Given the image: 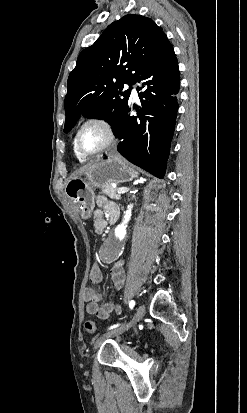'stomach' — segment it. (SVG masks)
Instances as JSON below:
<instances>
[{
    "mask_svg": "<svg viewBox=\"0 0 247 413\" xmlns=\"http://www.w3.org/2000/svg\"><path fill=\"white\" fill-rule=\"evenodd\" d=\"M136 176L137 170L121 156H107L77 178H70L66 182L65 194L77 202L82 219H89L95 207V188L112 182H128Z\"/></svg>",
    "mask_w": 247,
    "mask_h": 413,
    "instance_id": "1",
    "label": "stomach"
}]
</instances>
